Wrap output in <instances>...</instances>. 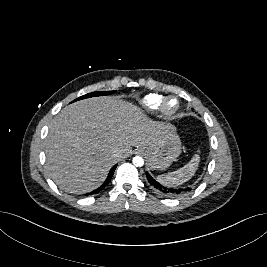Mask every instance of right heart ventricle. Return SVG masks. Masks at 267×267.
I'll return each mask as SVG.
<instances>
[{
    "mask_svg": "<svg viewBox=\"0 0 267 267\" xmlns=\"http://www.w3.org/2000/svg\"><path fill=\"white\" fill-rule=\"evenodd\" d=\"M162 100H163L162 95L152 93V94L146 95L143 98L142 105L144 106V108H146L149 111H155L159 108Z\"/></svg>",
    "mask_w": 267,
    "mask_h": 267,
    "instance_id": "obj_1",
    "label": "right heart ventricle"
}]
</instances>
